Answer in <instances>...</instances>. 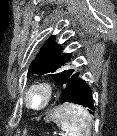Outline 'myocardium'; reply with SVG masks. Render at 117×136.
Segmentation results:
<instances>
[{"instance_id": "f54148a6", "label": "myocardium", "mask_w": 117, "mask_h": 136, "mask_svg": "<svg viewBox=\"0 0 117 136\" xmlns=\"http://www.w3.org/2000/svg\"><path fill=\"white\" fill-rule=\"evenodd\" d=\"M33 92H40L42 95V102L38 106L30 103L29 96ZM54 93L53 85L47 80H37L32 82L25 90L23 100L25 106L33 111H41L45 109L50 103Z\"/></svg>"}]
</instances>
